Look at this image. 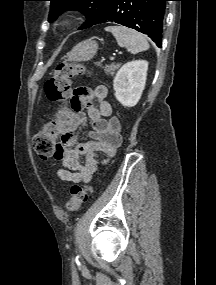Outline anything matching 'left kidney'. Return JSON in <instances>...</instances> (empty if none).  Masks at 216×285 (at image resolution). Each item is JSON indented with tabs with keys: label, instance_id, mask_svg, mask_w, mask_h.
I'll list each match as a JSON object with an SVG mask.
<instances>
[{
	"label": "left kidney",
	"instance_id": "obj_1",
	"mask_svg": "<svg viewBox=\"0 0 216 285\" xmlns=\"http://www.w3.org/2000/svg\"><path fill=\"white\" fill-rule=\"evenodd\" d=\"M148 62L136 60L124 64L117 72L113 87L116 99L124 107L135 106L145 88Z\"/></svg>",
	"mask_w": 216,
	"mask_h": 285
}]
</instances>
